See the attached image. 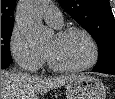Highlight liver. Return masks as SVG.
<instances>
[{
	"label": "liver",
	"mask_w": 115,
	"mask_h": 99,
	"mask_svg": "<svg viewBox=\"0 0 115 99\" xmlns=\"http://www.w3.org/2000/svg\"><path fill=\"white\" fill-rule=\"evenodd\" d=\"M76 75L42 78L1 70V99H39L38 94L64 86Z\"/></svg>",
	"instance_id": "6515ba94"
}]
</instances>
